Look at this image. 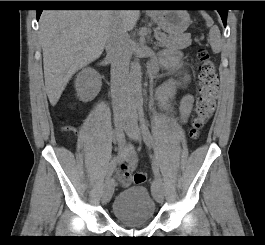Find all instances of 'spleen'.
Masks as SVG:
<instances>
[{"mask_svg":"<svg viewBox=\"0 0 265 245\" xmlns=\"http://www.w3.org/2000/svg\"><path fill=\"white\" fill-rule=\"evenodd\" d=\"M203 18L206 20V24L210 27L209 38L212 50L214 53H219L222 48V40L219 28L213 25V20L206 12H201Z\"/></svg>","mask_w":265,"mask_h":245,"instance_id":"spleen-1","label":"spleen"}]
</instances>
